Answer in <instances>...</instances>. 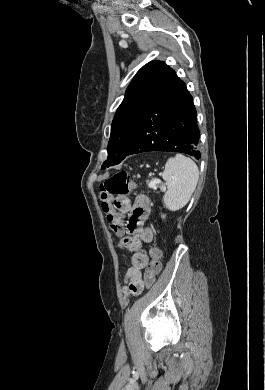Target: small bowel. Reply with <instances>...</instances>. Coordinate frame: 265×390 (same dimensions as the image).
<instances>
[{
	"mask_svg": "<svg viewBox=\"0 0 265 390\" xmlns=\"http://www.w3.org/2000/svg\"><path fill=\"white\" fill-rule=\"evenodd\" d=\"M114 206L123 216L129 214L127 223L128 235L120 241V247L133 253L131 267L125 273V292L128 295L136 296L144 289L142 269L148 265V256L142 249L143 244L152 242L153 231L145 227L144 222L150 214V201L146 195L140 194L135 198L133 204L126 196H117L114 199Z\"/></svg>",
	"mask_w": 265,
	"mask_h": 390,
	"instance_id": "1",
	"label": "small bowel"
}]
</instances>
